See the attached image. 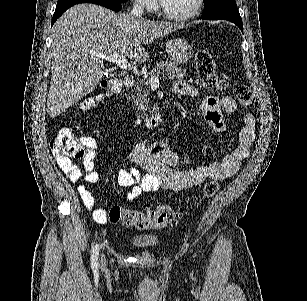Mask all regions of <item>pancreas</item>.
Wrapping results in <instances>:
<instances>
[{"label":"pancreas","mask_w":307,"mask_h":301,"mask_svg":"<svg viewBox=\"0 0 307 301\" xmlns=\"http://www.w3.org/2000/svg\"><path fill=\"white\" fill-rule=\"evenodd\" d=\"M155 74H162V76L167 74L169 78H181V76H184L185 70L178 68L174 62L164 60V62L155 64L154 68H151L144 78L136 80L134 86L135 94H133V106L136 108L138 116H147V112H155L156 108H158L157 104H155V106H150V98H148L150 94L149 78L150 76H155Z\"/></svg>","instance_id":"obj_1"}]
</instances>
